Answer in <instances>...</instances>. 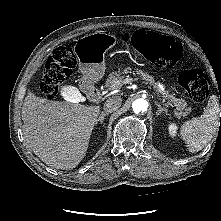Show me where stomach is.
<instances>
[{
	"mask_svg": "<svg viewBox=\"0 0 221 221\" xmlns=\"http://www.w3.org/2000/svg\"><path fill=\"white\" fill-rule=\"evenodd\" d=\"M116 44L114 35L96 32L82 37L77 45L79 69L85 78L95 82L100 80L105 71L104 54Z\"/></svg>",
	"mask_w": 221,
	"mask_h": 221,
	"instance_id": "0dacf381",
	"label": "stomach"
}]
</instances>
